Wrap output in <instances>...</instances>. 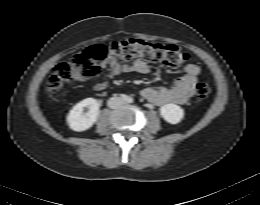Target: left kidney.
Instances as JSON below:
<instances>
[{
	"label": "left kidney",
	"mask_w": 260,
	"mask_h": 205,
	"mask_svg": "<svg viewBox=\"0 0 260 205\" xmlns=\"http://www.w3.org/2000/svg\"><path fill=\"white\" fill-rule=\"evenodd\" d=\"M160 115L170 124H178L184 117V110L175 104H165L160 108Z\"/></svg>",
	"instance_id": "1"
}]
</instances>
